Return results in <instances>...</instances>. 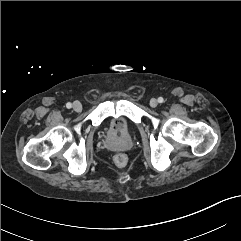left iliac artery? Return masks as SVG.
Wrapping results in <instances>:
<instances>
[{
    "label": "left iliac artery",
    "instance_id": "44dca946",
    "mask_svg": "<svg viewBox=\"0 0 241 241\" xmlns=\"http://www.w3.org/2000/svg\"><path fill=\"white\" fill-rule=\"evenodd\" d=\"M158 102H159V103H163V102H164V99H163L162 97H159V98H158Z\"/></svg>",
    "mask_w": 241,
    "mask_h": 241
}]
</instances>
